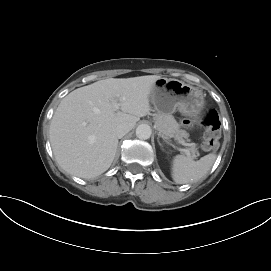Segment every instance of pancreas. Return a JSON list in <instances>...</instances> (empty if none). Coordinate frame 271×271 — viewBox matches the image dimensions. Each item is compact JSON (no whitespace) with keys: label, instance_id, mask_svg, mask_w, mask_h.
I'll return each mask as SVG.
<instances>
[{"label":"pancreas","instance_id":"obj_1","mask_svg":"<svg viewBox=\"0 0 271 271\" xmlns=\"http://www.w3.org/2000/svg\"><path fill=\"white\" fill-rule=\"evenodd\" d=\"M154 120L158 131L166 136L174 137L181 143L186 144L184 139L188 141L189 134L185 130L180 129V125L172 115L156 114ZM190 151L192 153L191 157L196 158L199 156V152L194 143L190 144Z\"/></svg>","mask_w":271,"mask_h":271}]
</instances>
